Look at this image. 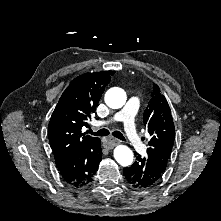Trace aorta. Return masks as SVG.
<instances>
[{"label": "aorta", "mask_w": 221, "mask_h": 221, "mask_svg": "<svg viewBox=\"0 0 221 221\" xmlns=\"http://www.w3.org/2000/svg\"><path fill=\"white\" fill-rule=\"evenodd\" d=\"M126 93L118 87L110 88L105 94V103L112 109L121 108L126 102ZM114 158L122 166H129L133 162V152L125 145H118L114 149Z\"/></svg>", "instance_id": "1"}]
</instances>
